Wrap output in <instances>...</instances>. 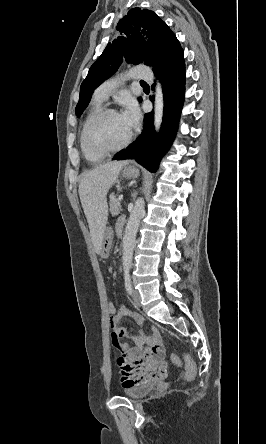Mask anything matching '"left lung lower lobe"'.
Returning <instances> with one entry per match:
<instances>
[{
  "instance_id": "0a47b994",
  "label": "left lung lower lobe",
  "mask_w": 266,
  "mask_h": 444,
  "mask_svg": "<svg viewBox=\"0 0 266 444\" xmlns=\"http://www.w3.org/2000/svg\"><path fill=\"white\" fill-rule=\"evenodd\" d=\"M163 85L164 116L161 131L155 137L153 113L145 114V125L138 139L130 148L115 155L113 160L135 159L151 172H155L159 160L168 150L177 130L184 101L185 64L181 53L176 59L156 72Z\"/></svg>"
}]
</instances>
